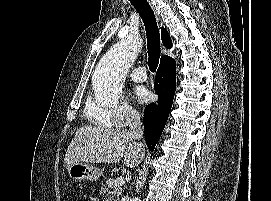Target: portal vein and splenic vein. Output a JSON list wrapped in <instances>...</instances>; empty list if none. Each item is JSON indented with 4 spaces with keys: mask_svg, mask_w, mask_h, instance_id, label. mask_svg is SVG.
<instances>
[{
    "mask_svg": "<svg viewBox=\"0 0 271 201\" xmlns=\"http://www.w3.org/2000/svg\"><path fill=\"white\" fill-rule=\"evenodd\" d=\"M125 182V178L123 176H119L115 181H114V185L118 186V185H123Z\"/></svg>",
    "mask_w": 271,
    "mask_h": 201,
    "instance_id": "portal-vein-and-splenic-vein-1",
    "label": "portal vein and splenic vein"
}]
</instances>
